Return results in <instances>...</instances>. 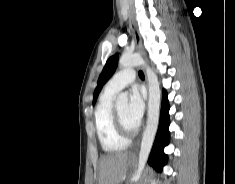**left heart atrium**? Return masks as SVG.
I'll list each match as a JSON object with an SVG mask.
<instances>
[{
	"mask_svg": "<svg viewBox=\"0 0 235 184\" xmlns=\"http://www.w3.org/2000/svg\"><path fill=\"white\" fill-rule=\"evenodd\" d=\"M143 114L144 98L138 89H133L128 105V120L135 128H138L142 123Z\"/></svg>",
	"mask_w": 235,
	"mask_h": 184,
	"instance_id": "39dd6f15",
	"label": "left heart atrium"
}]
</instances>
